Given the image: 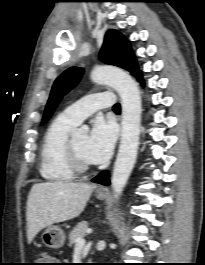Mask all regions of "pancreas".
I'll return each instance as SVG.
<instances>
[{"instance_id":"pancreas-1","label":"pancreas","mask_w":205,"mask_h":265,"mask_svg":"<svg viewBox=\"0 0 205 265\" xmlns=\"http://www.w3.org/2000/svg\"><path fill=\"white\" fill-rule=\"evenodd\" d=\"M87 228L88 223L86 221L78 223L77 226H75L73 230L69 233V246L76 244L77 238L85 236Z\"/></svg>"}]
</instances>
